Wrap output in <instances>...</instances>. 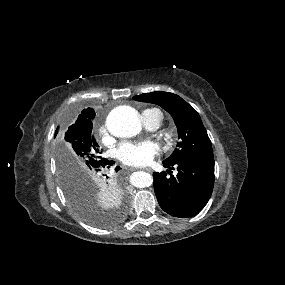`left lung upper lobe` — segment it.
Instances as JSON below:
<instances>
[{
  "mask_svg": "<svg viewBox=\"0 0 285 285\" xmlns=\"http://www.w3.org/2000/svg\"><path fill=\"white\" fill-rule=\"evenodd\" d=\"M133 99L161 106L175 121L179 142L172 155L163 161L164 163L214 159L212 144L199 114L181 97L173 93L157 91L134 96Z\"/></svg>",
  "mask_w": 285,
  "mask_h": 285,
  "instance_id": "left-lung-upper-lobe-1",
  "label": "left lung upper lobe"
}]
</instances>
